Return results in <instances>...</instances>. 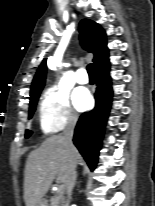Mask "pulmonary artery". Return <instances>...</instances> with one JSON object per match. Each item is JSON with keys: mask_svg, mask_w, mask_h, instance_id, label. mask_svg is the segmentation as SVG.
Returning <instances> with one entry per match:
<instances>
[{"mask_svg": "<svg viewBox=\"0 0 155 206\" xmlns=\"http://www.w3.org/2000/svg\"><path fill=\"white\" fill-rule=\"evenodd\" d=\"M76 81L79 84H86L89 81L87 72L84 68H80L76 73Z\"/></svg>", "mask_w": 155, "mask_h": 206, "instance_id": "e3ab8cb5", "label": "pulmonary artery"}]
</instances>
